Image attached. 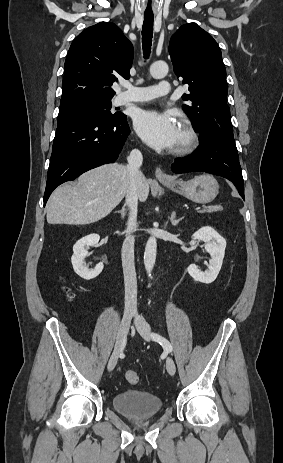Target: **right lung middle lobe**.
<instances>
[{
    "mask_svg": "<svg viewBox=\"0 0 283 463\" xmlns=\"http://www.w3.org/2000/svg\"><path fill=\"white\" fill-rule=\"evenodd\" d=\"M112 98H97L89 99L80 103H77L66 108H62L59 111L57 124L63 123L75 117L83 115H96L104 116L107 118H117L121 114L110 112Z\"/></svg>",
    "mask_w": 283,
    "mask_h": 463,
    "instance_id": "1",
    "label": "right lung middle lobe"
}]
</instances>
